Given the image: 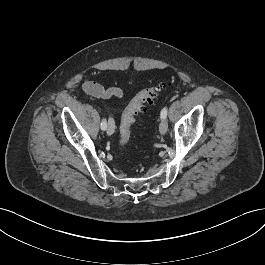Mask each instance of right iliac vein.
<instances>
[{
  "instance_id": "obj_1",
  "label": "right iliac vein",
  "mask_w": 265,
  "mask_h": 265,
  "mask_svg": "<svg viewBox=\"0 0 265 265\" xmlns=\"http://www.w3.org/2000/svg\"><path fill=\"white\" fill-rule=\"evenodd\" d=\"M114 130H115L114 121L112 118H109L107 128H106L107 134L112 135L114 133Z\"/></svg>"
}]
</instances>
